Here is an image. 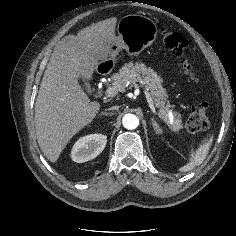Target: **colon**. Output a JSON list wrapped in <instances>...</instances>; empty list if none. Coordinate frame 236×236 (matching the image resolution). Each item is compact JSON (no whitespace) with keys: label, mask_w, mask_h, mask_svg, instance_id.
Here are the masks:
<instances>
[{"label":"colon","mask_w":236,"mask_h":236,"mask_svg":"<svg viewBox=\"0 0 236 236\" xmlns=\"http://www.w3.org/2000/svg\"><path fill=\"white\" fill-rule=\"evenodd\" d=\"M162 40L165 47L175 56L181 59V69L189 81H194V71L190 62L184 58V52L187 49V40L179 33L170 30H164L162 33ZM209 126V119L207 114V105L201 103L195 107L190 113L186 127L191 132L204 131Z\"/></svg>","instance_id":"1"}]
</instances>
